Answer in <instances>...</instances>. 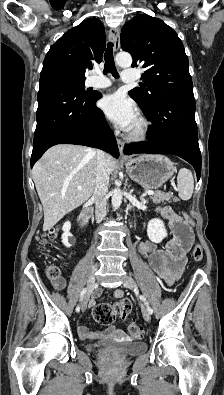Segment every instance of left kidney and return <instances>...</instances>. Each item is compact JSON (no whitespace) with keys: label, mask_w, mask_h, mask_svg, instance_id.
<instances>
[{"label":"left kidney","mask_w":224,"mask_h":395,"mask_svg":"<svg viewBox=\"0 0 224 395\" xmlns=\"http://www.w3.org/2000/svg\"><path fill=\"white\" fill-rule=\"evenodd\" d=\"M148 238L154 243H160L167 236L162 220L155 218L149 221L147 225Z\"/></svg>","instance_id":"left-kidney-1"}]
</instances>
